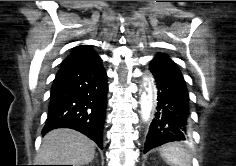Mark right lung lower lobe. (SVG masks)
<instances>
[{
	"label": "right lung lower lobe",
	"instance_id": "98d812e1",
	"mask_svg": "<svg viewBox=\"0 0 236 166\" xmlns=\"http://www.w3.org/2000/svg\"><path fill=\"white\" fill-rule=\"evenodd\" d=\"M107 92V74L102 60L85 66L60 68L51 88L43 134L55 128H72L102 149Z\"/></svg>",
	"mask_w": 236,
	"mask_h": 166
}]
</instances>
